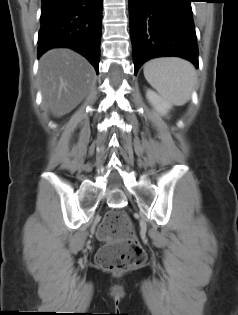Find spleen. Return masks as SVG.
<instances>
[{
	"label": "spleen",
	"instance_id": "obj_1",
	"mask_svg": "<svg viewBox=\"0 0 238 315\" xmlns=\"http://www.w3.org/2000/svg\"><path fill=\"white\" fill-rule=\"evenodd\" d=\"M147 82L168 103L182 106L187 103L197 84L194 66L178 57L152 59L144 64Z\"/></svg>",
	"mask_w": 238,
	"mask_h": 315
}]
</instances>
